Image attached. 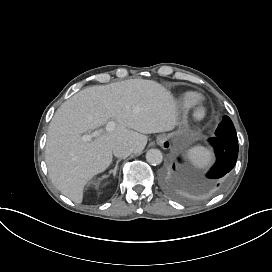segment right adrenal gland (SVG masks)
I'll return each mask as SVG.
<instances>
[{
  "label": "right adrenal gland",
  "instance_id": "obj_1",
  "mask_svg": "<svg viewBox=\"0 0 272 272\" xmlns=\"http://www.w3.org/2000/svg\"><path fill=\"white\" fill-rule=\"evenodd\" d=\"M119 161L120 160L117 161V164H116L115 168L109 171V174L113 173V175L116 176V171H117V167H118V162Z\"/></svg>",
  "mask_w": 272,
  "mask_h": 272
}]
</instances>
